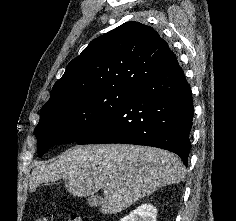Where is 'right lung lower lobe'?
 <instances>
[{
  "label": "right lung lower lobe",
  "instance_id": "obj_1",
  "mask_svg": "<svg viewBox=\"0 0 236 221\" xmlns=\"http://www.w3.org/2000/svg\"><path fill=\"white\" fill-rule=\"evenodd\" d=\"M194 107L176 61L134 94L77 144L127 143L174 152L187 166Z\"/></svg>",
  "mask_w": 236,
  "mask_h": 221
}]
</instances>
